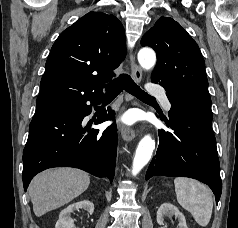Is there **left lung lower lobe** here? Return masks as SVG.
Returning a JSON list of instances; mask_svg holds the SVG:
<instances>
[{"mask_svg":"<svg viewBox=\"0 0 238 228\" xmlns=\"http://www.w3.org/2000/svg\"><path fill=\"white\" fill-rule=\"evenodd\" d=\"M169 101L172 106L168 117H159L171 131L159 132V146L146 180L157 175L194 178L212 189L218 203L222 183L212 115Z\"/></svg>","mask_w":238,"mask_h":228,"instance_id":"obj_1","label":"left lung lower lobe"}]
</instances>
